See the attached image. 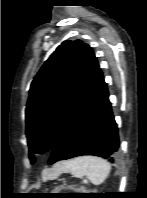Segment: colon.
<instances>
[{"instance_id":"obj_1","label":"colon","mask_w":147,"mask_h":198,"mask_svg":"<svg viewBox=\"0 0 147 198\" xmlns=\"http://www.w3.org/2000/svg\"><path fill=\"white\" fill-rule=\"evenodd\" d=\"M60 190H71V191H85L84 188H78V187H72V186H65V187H60L58 188Z\"/></svg>"}]
</instances>
